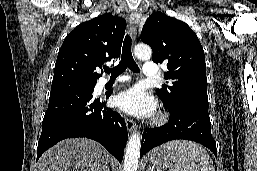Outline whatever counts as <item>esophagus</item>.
Returning a JSON list of instances; mask_svg holds the SVG:
<instances>
[{"mask_svg":"<svg viewBox=\"0 0 257 171\" xmlns=\"http://www.w3.org/2000/svg\"><path fill=\"white\" fill-rule=\"evenodd\" d=\"M139 22H140V14L138 13L137 10H133L129 17V23L131 28V35L134 40L136 39V36H137V27ZM125 123L129 133H132L136 130V123L133 120L126 118Z\"/></svg>","mask_w":257,"mask_h":171,"instance_id":"esophagus-1","label":"esophagus"}]
</instances>
